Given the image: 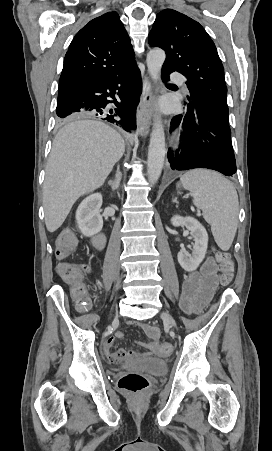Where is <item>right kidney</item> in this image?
<instances>
[{
  "instance_id": "1",
  "label": "right kidney",
  "mask_w": 272,
  "mask_h": 451,
  "mask_svg": "<svg viewBox=\"0 0 272 451\" xmlns=\"http://www.w3.org/2000/svg\"><path fill=\"white\" fill-rule=\"evenodd\" d=\"M102 206L101 194H91L79 204L76 212L78 227L84 235H94L103 227L100 208Z\"/></svg>"
}]
</instances>
